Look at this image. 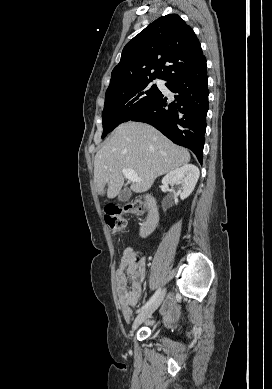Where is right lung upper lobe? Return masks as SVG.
Listing matches in <instances>:
<instances>
[{
    "label": "right lung upper lobe",
    "mask_w": 272,
    "mask_h": 389,
    "mask_svg": "<svg viewBox=\"0 0 272 389\" xmlns=\"http://www.w3.org/2000/svg\"><path fill=\"white\" fill-rule=\"evenodd\" d=\"M203 57L197 36L179 15L160 17L126 44L106 92L155 78L167 80Z\"/></svg>",
    "instance_id": "1"
}]
</instances>
